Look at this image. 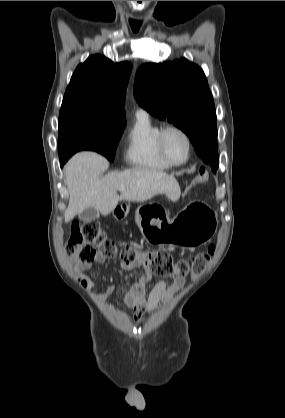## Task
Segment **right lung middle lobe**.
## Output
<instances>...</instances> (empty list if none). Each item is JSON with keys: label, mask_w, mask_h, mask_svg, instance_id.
I'll list each match as a JSON object with an SVG mask.
<instances>
[{"label": "right lung middle lobe", "mask_w": 285, "mask_h": 418, "mask_svg": "<svg viewBox=\"0 0 285 418\" xmlns=\"http://www.w3.org/2000/svg\"><path fill=\"white\" fill-rule=\"evenodd\" d=\"M126 122L101 115L60 111L58 150L61 159H68L81 150H92L114 160L116 146Z\"/></svg>", "instance_id": "obj_1"}]
</instances>
